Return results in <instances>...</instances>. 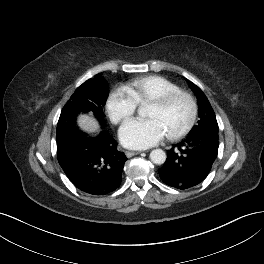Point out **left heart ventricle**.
<instances>
[{
	"mask_svg": "<svg viewBox=\"0 0 264 264\" xmlns=\"http://www.w3.org/2000/svg\"><path fill=\"white\" fill-rule=\"evenodd\" d=\"M189 114V106L185 99L180 98L167 108H158L150 104L146 117L158 120L166 134L179 129L186 121Z\"/></svg>",
	"mask_w": 264,
	"mask_h": 264,
	"instance_id": "1",
	"label": "left heart ventricle"
}]
</instances>
